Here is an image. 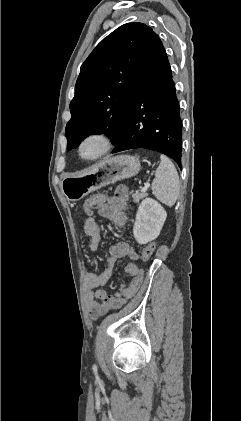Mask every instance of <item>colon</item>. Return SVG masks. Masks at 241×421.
<instances>
[{"label": "colon", "mask_w": 241, "mask_h": 421, "mask_svg": "<svg viewBox=\"0 0 241 421\" xmlns=\"http://www.w3.org/2000/svg\"><path fill=\"white\" fill-rule=\"evenodd\" d=\"M105 201H106L105 194H94L90 196L85 202V211L88 214H91L94 209L103 205ZM155 248H156L155 243H150L148 246H146L141 253V260L148 261L153 255ZM124 272L126 275L134 277L133 281L131 282L129 286L122 284L120 288L121 296L125 300H128L136 293L141 283L143 282L144 271L140 269L135 263L130 262L125 265Z\"/></svg>", "instance_id": "obj_1"}]
</instances>
